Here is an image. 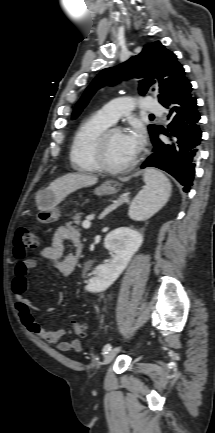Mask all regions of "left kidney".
<instances>
[{"mask_svg":"<svg viewBox=\"0 0 215 433\" xmlns=\"http://www.w3.org/2000/svg\"><path fill=\"white\" fill-rule=\"evenodd\" d=\"M143 242V236L128 227H120L111 231L105 237V248L115 254L108 263L96 268V276L90 279L85 290L96 293L105 291L124 271L135 252Z\"/></svg>","mask_w":215,"mask_h":433,"instance_id":"obj_1","label":"left kidney"}]
</instances>
